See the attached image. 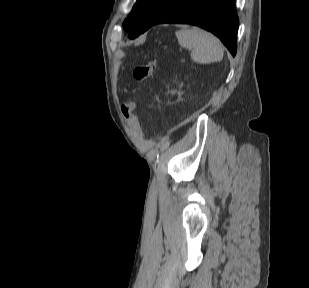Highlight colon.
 Segmentation results:
<instances>
[{
	"mask_svg": "<svg viewBox=\"0 0 309 288\" xmlns=\"http://www.w3.org/2000/svg\"><path fill=\"white\" fill-rule=\"evenodd\" d=\"M156 58L153 56L148 61L138 65L135 67L133 71V76L136 81L138 82H145L147 81L155 72L156 70ZM137 107V103L135 101L125 105L122 107V113L124 117L131 123L134 130L140 134V125L139 121L134 114V111Z\"/></svg>",
	"mask_w": 309,
	"mask_h": 288,
	"instance_id": "5ec220e1",
	"label": "colon"
}]
</instances>
